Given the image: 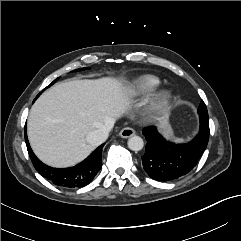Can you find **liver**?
<instances>
[{"label":"liver","instance_id":"1","mask_svg":"<svg viewBox=\"0 0 241 241\" xmlns=\"http://www.w3.org/2000/svg\"><path fill=\"white\" fill-rule=\"evenodd\" d=\"M129 104L128 93L115 79L61 82L44 92L31 108V147L47 165L74 166L95 148L88 143V134L120 118Z\"/></svg>","mask_w":241,"mask_h":241}]
</instances>
